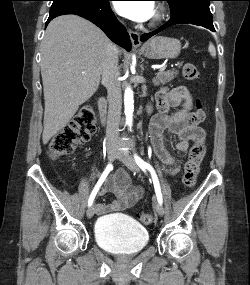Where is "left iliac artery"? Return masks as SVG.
Wrapping results in <instances>:
<instances>
[{"instance_id": "obj_1", "label": "left iliac artery", "mask_w": 250, "mask_h": 285, "mask_svg": "<svg viewBox=\"0 0 250 285\" xmlns=\"http://www.w3.org/2000/svg\"><path fill=\"white\" fill-rule=\"evenodd\" d=\"M134 159H135L137 165L142 170L147 169L150 172L152 180H153L154 189H155V193H156L158 202L160 204H162L161 188H160L159 180H158V177H157V175L155 173V170L153 169V167L149 163H147L144 160H142L136 153L134 154Z\"/></svg>"}]
</instances>
